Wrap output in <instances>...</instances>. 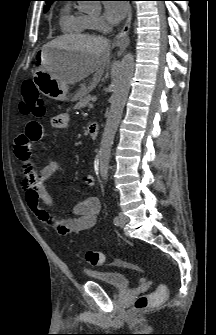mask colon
<instances>
[{"mask_svg":"<svg viewBox=\"0 0 216 335\" xmlns=\"http://www.w3.org/2000/svg\"><path fill=\"white\" fill-rule=\"evenodd\" d=\"M20 109L25 115H32L34 117H41L46 112V106L41 98L35 84L32 81H24L22 85V101ZM85 260L91 266H100L104 262V254L99 251L86 250ZM167 296V289L160 287L157 291L141 295L137 298L134 308L138 311L145 310L149 307L155 306L163 301Z\"/></svg>","mask_w":216,"mask_h":335,"instance_id":"colon-1","label":"colon"}]
</instances>
